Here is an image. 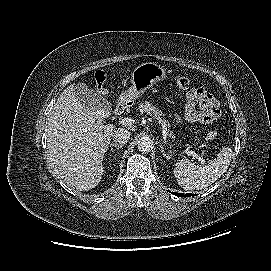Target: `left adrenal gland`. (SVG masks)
Segmentation results:
<instances>
[{
  "instance_id": "a2214340",
  "label": "left adrenal gland",
  "mask_w": 271,
  "mask_h": 271,
  "mask_svg": "<svg viewBox=\"0 0 271 271\" xmlns=\"http://www.w3.org/2000/svg\"><path fill=\"white\" fill-rule=\"evenodd\" d=\"M159 146H160L163 157L168 158V155L165 153L164 147L161 144Z\"/></svg>"
}]
</instances>
